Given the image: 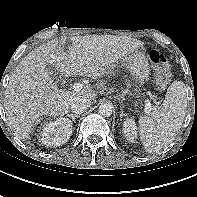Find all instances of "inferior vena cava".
Masks as SVG:
<instances>
[{
    "instance_id": "inferior-vena-cava-1",
    "label": "inferior vena cava",
    "mask_w": 197,
    "mask_h": 197,
    "mask_svg": "<svg viewBox=\"0 0 197 197\" xmlns=\"http://www.w3.org/2000/svg\"><path fill=\"white\" fill-rule=\"evenodd\" d=\"M90 106H91V101L88 98L82 96L75 98L70 104V108L72 112L75 114L83 113Z\"/></svg>"
}]
</instances>
